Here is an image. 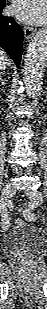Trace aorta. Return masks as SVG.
Returning a JSON list of instances; mask_svg holds the SVG:
<instances>
[{"instance_id":"obj_1","label":"aorta","mask_w":47,"mask_h":309,"mask_svg":"<svg viewBox=\"0 0 47 309\" xmlns=\"http://www.w3.org/2000/svg\"><path fill=\"white\" fill-rule=\"evenodd\" d=\"M47 63V33L39 30L31 40L24 59L23 81L28 98L34 99L41 90Z\"/></svg>"}]
</instances>
